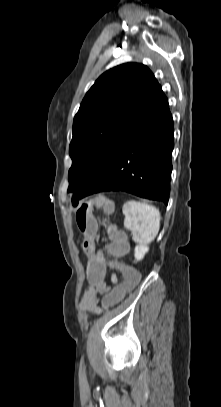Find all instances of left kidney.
I'll return each mask as SVG.
<instances>
[{"mask_svg":"<svg viewBox=\"0 0 221 407\" xmlns=\"http://www.w3.org/2000/svg\"><path fill=\"white\" fill-rule=\"evenodd\" d=\"M149 247L147 244H138L135 247V259L136 261H140L144 258L145 254L148 252Z\"/></svg>","mask_w":221,"mask_h":407,"instance_id":"left-kidney-1","label":"left kidney"}]
</instances>
